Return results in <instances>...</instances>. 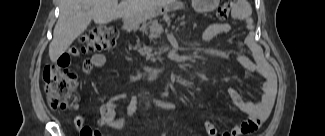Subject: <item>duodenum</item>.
Here are the masks:
<instances>
[{"label":"duodenum","instance_id":"1","mask_svg":"<svg viewBox=\"0 0 325 136\" xmlns=\"http://www.w3.org/2000/svg\"><path fill=\"white\" fill-rule=\"evenodd\" d=\"M143 72L146 76L149 77H158L163 75L166 72L165 66H158V67H145Z\"/></svg>","mask_w":325,"mask_h":136}]
</instances>
